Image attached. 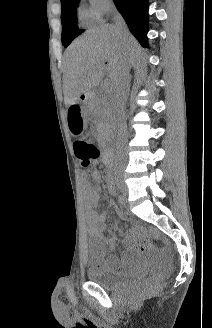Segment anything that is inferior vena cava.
I'll return each instance as SVG.
<instances>
[{
    "mask_svg": "<svg viewBox=\"0 0 212 328\" xmlns=\"http://www.w3.org/2000/svg\"><path fill=\"white\" fill-rule=\"evenodd\" d=\"M111 16L115 22V26L118 34H123L126 32L127 28L125 22L120 15V13L112 8ZM128 91V77L125 71L118 74L114 87L111 91L110 97V110L117 127V142H116V156L115 171L113 174L114 179H121L124 167L123 154L121 153V148L126 142L127 127L125 122V103L127 100Z\"/></svg>",
    "mask_w": 212,
    "mask_h": 328,
    "instance_id": "602c4592",
    "label": "inferior vena cava"
}]
</instances>
